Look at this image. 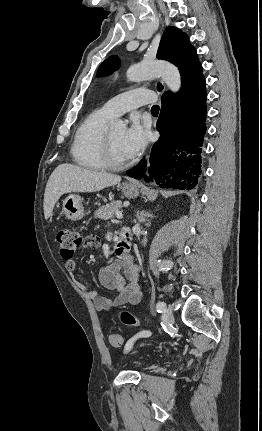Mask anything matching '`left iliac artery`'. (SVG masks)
<instances>
[{"label":"left iliac artery","mask_w":262,"mask_h":431,"mask_svg":"<svg viewBox=\"0 0 262 431\" xmlns=\"http://www.w3.org/2000/svg\"><path fill=\"white\" fill-rule=\"evenodd\" d=\"M166 304L164 303V302H158L157 304H156V309H157V312H159V313H165V311H166ZM144 334L146 335V336H150L151 335V332L150 331H146V332H144ZM131 341H129L127 344H126V346H125V350H129L130 349V346H131Z\"/></svg>","instance_id":"obj_1"}]
</instances>
